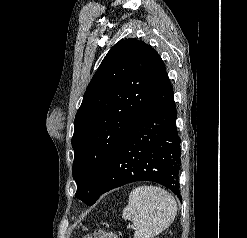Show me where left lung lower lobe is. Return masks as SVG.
Instances as JSON below:
<instances>
[{
    "instance_id": "1",
    "label": "left lung lower lobe",
    "mask_w": 247,
    "mask_h": 238,
    "mask_svg": "<svg viewBox=\"0 0 247 238\" xmlns=\"http://www.w3.org/2000/svg\"><path fill=\"white\" fill-rule=\"evenodd\" d=\"M173 87L165 72L145 111L114 156L99 192L135 181H154L177 196L181 139L176 128Z\"/></svg>"
}]
</instances>
